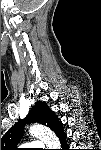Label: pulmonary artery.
I'll list each match as a JSON object with an SVG mask.
<instances>
[{"mask_svg": "<svg viewBox=\"0 0 101 150\" xmlns=\"http://www.w3.org/2000/svg\"><path fill=\"white\" fill-rule=\"evenodd\" d=\"M26 146H29V147H41L42 143L38 142V141H35V142L27 144Z\"/></svg>", "mask_w": 101, "mask_h": 150, "instance_id": "pulmonary-artery-1", "label": "pulmonary artery"}]
</instances>
